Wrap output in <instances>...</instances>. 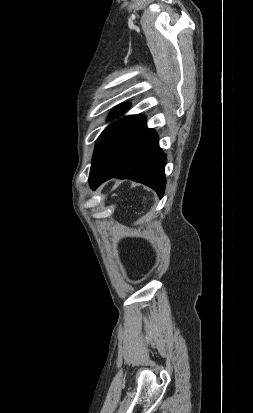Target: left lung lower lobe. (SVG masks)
Instances as JSON below:
<instances>
[{
	"mask_svg": "<svg viewBox=\"0 0 253 413\" xmlns=\"http://www.w3.org/2000/svg\"><path fill=\"white\" fill-rule=\"evenodd\" d=\"M166 156L158 144V135L148 129L145 120L125 139L89 183L96 189L102 182L117 177L143 183L162 197L165 190Z\"/></svg>",
	"mask_w": 253,
	"mask_h": 413,
	"instance_id": "obj_1",
	"label": "left lung lower lobe"
}]
</instances>
